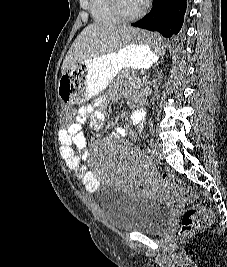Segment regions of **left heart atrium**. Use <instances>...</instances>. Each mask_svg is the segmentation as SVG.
Masks as SVG:
<instances>
[{
  "instance_id": "obj_1",
  "label": "left heart atrium",
  "mask_w": 227,
  "mask_h": 267,
  "mask_svg": "<svg viewBox=\"0 0 227 267\" xmlns=\"http://www.w3.org/2000/svg\"><path fill=\"white\" fill-rule=\"evenodd\" d=\"M141 2V4H145L148 0H139Z\"/></svg>"
}]
</instances>
